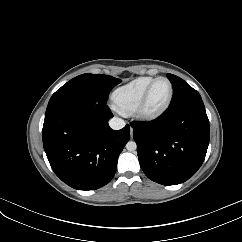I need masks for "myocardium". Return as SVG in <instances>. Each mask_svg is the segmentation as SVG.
I'll return each mask as SVG.
<instances>
[{
	"label": "myocardium",
	"instance_id": "f54148a6",
	"mask_svg": "<svg viewBox=\"0 0 242 242\" xmlns=\"http://www.w3.org/2000/svg\"><path fill=\"white\" fill-rule=\"evenodd\" d=\"M160 80H165L169 84V88H170L169 95L163 104H161L160 106L155 107V108H150L148 106V100H149L150 93H151L154 85ZM173 94H174V88H173V84L170 81V79H168L167 77H163V76L154 78L153 81L149 84V86L145 90L142 98L138 102V104L135 107L133 112L139 118H143V119L154 118V117L160 115L162 112H164L168 108V106L170 105L171 100L173 98Z\"/></svg>",
	"mask_w": 242,
	"mask_h": 242
}]
</instances>
